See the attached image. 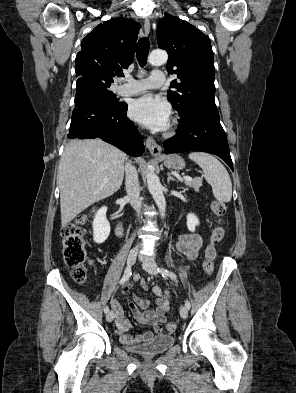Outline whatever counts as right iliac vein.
<instances>
[{"label":"right iliac vein","instance_id":"right-iliac-vein-1","mask_svg":"<svg viewBox=\"0 0 296 393\" xmlns=\"http://www.w3.org/2000/svg\"><path fill=\"white\" fill-rule=\"evenodd\" d=\"M137 254H138V248H133L129 252V255L127 257V265H128V267L132 266L135 263ZM113 319H114V312L113 311L108 312L107 315H106L107 322H112Z\"/></svg>","mask_w":296,"mask_h":393}]
</instances>
